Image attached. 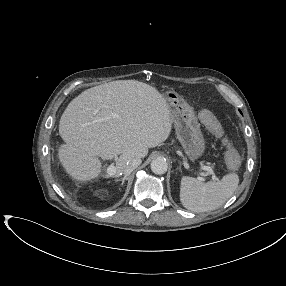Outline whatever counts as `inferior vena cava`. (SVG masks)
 <instances>
[{"label":"inferior vena cava","mask_w":286,"mask_h":286,"mask_svg":"<svg viewBox=\"0 0 286 286\" xmlns=\"http://www.w3.org/2000/svg\"><path fill=\"white\" fill-rule=\"evenodd\" d=\"M140 158H130L123 165V173L125 176L129 175L135 168H137L141 164Z\"/></svg>","instance_id":"obj_1"}]
</instances>
